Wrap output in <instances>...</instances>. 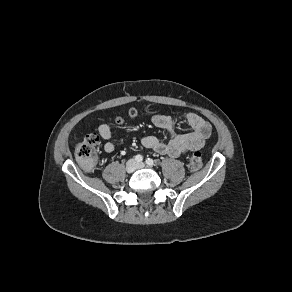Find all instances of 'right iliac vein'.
Here are the masks:
<instances>
[{"instance_id": "right-iliac-vein-1", "label": "right iliac vein", "mask_w": 292, "mask_h": 292, "mask_svg": "<svg viewBox=\"0 0 292 292\" xmlns=\"http://www.w3.org/2000/svg\"><path fill=\"white\" fill-rule=\"evenodd\" d=\"M137 164L135 160L131 159L126 164V171L127 173H132L136 170Z\"/></svg>"}]
</instances>
